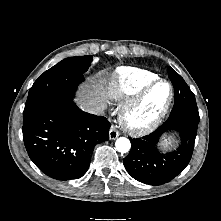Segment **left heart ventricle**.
I'll return each mask as SVG.
<instances>
[{
	"label": "left heart ventricle",
	"mask_w": 221,
	"mask_h": 221,
	"mask_svg": "<svg viewBox=\"0 0 221 221\" xmlns=\"http://www.w3.org/2000/svg\"><path fill=\"white\" fill-rule=\"evenodd\" d=\"M169 95V86L166 83H161L151 92L147 103L138 113V119L146 121L151 118L159 108L164 104Z\"/></svg>",
	"instance_id": "1"
}]
</instances>
